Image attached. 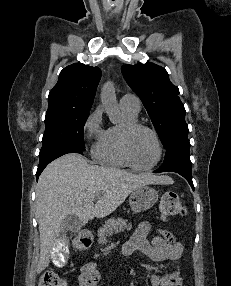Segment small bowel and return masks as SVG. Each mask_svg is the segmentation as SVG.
<instances>
[{
  "mask_svg": "<svg viewBox=\"0 0 231 286\" xmlns=\"http://www.w3.org/2000/svg\"><path fill=\"white\" fill-rule=\"evenodd\" d=\"M153 229V221L142 222L130 239L122 245L121 254L126 256L134 252H141L153 262L177 261L183 254V245L165 229H156L149 241L147 236ZM100 278L101 275L96 265L88 263L82 267L78 283L79 286H97ZM150 283L152 286H181V269L175 265L173 270L164 276L153 274L150 277Z\"/></svg>",
  "mask_w": 231,
  "mask_h": 286,
  "instance_id": "obj_1",
  "label": "small bowel"
}]
</instances>
